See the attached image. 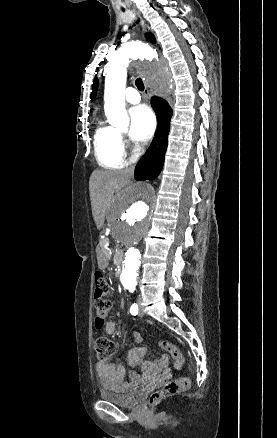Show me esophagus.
Wrapping results in <instances>:
<instances>
[{
  "instance_id": "1",
  "label": "esophagus",
  "mask_w": 277,
  "mask_h": 438,
  "mask_svg": "<svg viewBox=\"0 0 277 438\" xmlns=\"http://www.w3.org/2000/svg\"><path fill=\"white\" fill-rule=\"evenodd\" d=\"M137 16H138V19H139L140 27H141L142 31L145 33V31H147L146 22H145L144 18L139 13H137ZM159 64L161 65L162 68L165 69L166 62L163 60V58L161 56H160V59H159ZM144 95L147 98L149 96V90H148L147 86H145Z\"/></svg>"
}]
</instances>
